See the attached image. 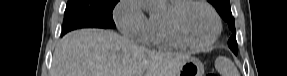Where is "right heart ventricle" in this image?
I'll return each instance as SVG.
<instances>
[{
    "mask_svg": "<svg viewBox=\"0 0 287 76\" xmlns=\"http://www.w3.org/2000/svg\"><path fill=\"white\" fill-rule=\"evenodd\" d=\"M179 0H165L161 10L152 12L148 18V32L144 43L159 49H177L181 45L171 35L167 14Z\"/></svg>",
    "mask_w": 287,
    "mask_h": 76,
    "instance_id": "obj_1",
    "label": "right heart ventricle"
}]
</instances>
